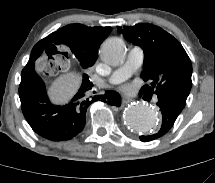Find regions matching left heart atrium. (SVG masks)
Listing matches in <instances>:
<instances>
[{"label": "left heart atrium", "mask_w": 215, "mask_h": 183, "mask_svg": "<svg viewBox=\"0 0 215 183\" xmlns=\"http://www.w3.org/2000/svg\"><path fill=\"white\" fill-rule=\"evenodd\" d=\"M123 90H124L125 92H131L132 87H131L130 85H125V86L123 87Z\"/></svg>", "instance_id": "1"}]
</instances>
